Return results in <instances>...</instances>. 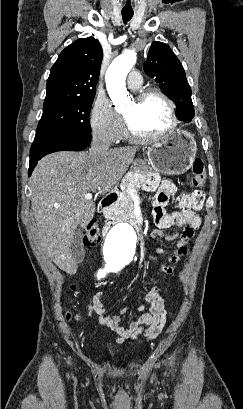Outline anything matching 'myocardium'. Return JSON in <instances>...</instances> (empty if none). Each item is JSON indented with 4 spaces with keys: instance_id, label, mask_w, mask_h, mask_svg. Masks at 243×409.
<instances>
[{
    "instance_id": "obj_1",
    "label": "myocardium",
    "mask_w": 243,
    "mask_h": 409,
    "mask_svg": "<svg viewBox=\"0 0 243 409\" xmlns=\"http://www.w3.org/2000/svg\"><path fill=\"white\" fill-rule=\"evenodd\" d=\"M152 96H156L160 98L166 104L167 109H168L170 124L164 131L160 133H157L154 135H142V134L135 132L133 128L131 127L130 123L128 122V120L124 117V124L126 128V132L129 138L135 142L147 143V142L156 141L172 133L178 125V117L176 114L175 104L173 100L170 97H168L164 92H162L160 89L147 88V89L141 90L135 95L134 99L135 101L140 103Z\"/></svg>"
}]
</instances>
